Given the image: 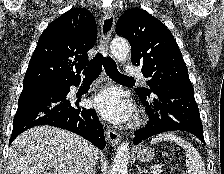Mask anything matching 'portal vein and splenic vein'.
<instances>
[{"instance_id": "obj_1", "label": "portal vein and splenic vein", "mask_w": 224, "mask_h": 174, "mask_svg": "<svg viewBox=\"0 0 224 174\" xmlns=\"http://www.w3.org/2000/svg\"><path fill=\"white\" fill-rule=\"evenodd\" d=\"M163 172V169L161 167H155L153 170H152V173L153 174H160Z\"/></svg>"}]
</instances>
